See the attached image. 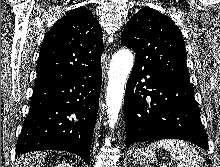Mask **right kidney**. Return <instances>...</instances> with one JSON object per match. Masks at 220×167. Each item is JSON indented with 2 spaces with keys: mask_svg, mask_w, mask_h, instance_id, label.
<instances>
[{
  "mask_svg": "<svg viewBox=\"0 0 220 167\" xmlns=\"http://www.w3.org/2000/svg\"><path fill=\"white\" fill-rule=\"evenodd\" d=\"M55 167H72L69 163L62 162L57 164Z\"/></svg>",
  "mask_w": 220,
  "mask_h": 167,
  "instance_id": "ca27d5eb",
  "label": "right kidney"
}]
</instances>
